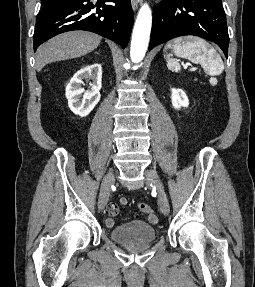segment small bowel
I'll use <instances>...</instances> for the list:
<instances>
[{"label": "small bowel", "instance_id": "1", "mask_svg": "<svg viewBox=\"0 0 255 287\" xmlns=\"http://www.w3.org/2000/svg\"><path fill=\"white\" fill-rule=\"evenodd\" d=\"M128 202L127 198L122 197L120 199V203L122 205H126ZM118 213V205L116 203H110L107 207L106 210V214H107V219H106V225L109 228H113L116 225L115 219L114 217L117 215ZM148 223L155 225L158 222V217L156 216V214H151L148 215L147 217Z\"/></svg>", "mask_w": 255, "mask_h": 287}]
</instances>
